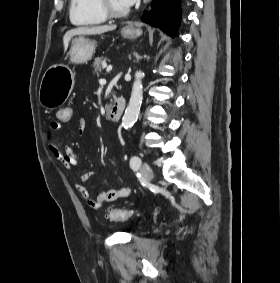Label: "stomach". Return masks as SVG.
<instances>
[{
  "mask_svg": "<svg viewBox=\"0 0 280 283\" xmlns=\"http://www.w3.org/2000/svg\"><path fill=\"white\" fill-rule=\"evenodd\" d=\"M142 34V30L131 25L121 29V35L127 39H134ZM96 42L85 37L72 40L71 49L67 55L70 61L87 63L95 53ZM74 72L65 64H54L44 73L40 88L39 102L47 109L61 106L69 97L75 83Z\"/></svg>",
  "mask_w": 280,
  "mask_h": 283,
  "instance_id": "obj_1",
  "label": "stomach"
}]
</instances>
